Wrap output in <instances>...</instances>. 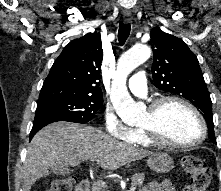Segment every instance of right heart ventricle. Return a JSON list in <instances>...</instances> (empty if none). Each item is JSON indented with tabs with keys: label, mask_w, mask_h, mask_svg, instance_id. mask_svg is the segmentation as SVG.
Here are the masks:
<instances>
[{
	"label": "right heart ventricle",
	"mask_w": 221,
	"mask_h": 191,
	"mask_svg": "<svg viewBox=\"0 0 221 191\" xmlns=\"http://www.w3.org/2000/svg\"><path fill=\"white\" fill-rule=\"evenodd\" d=\"M128 143L140 147L152 146L145 133L140 128L134 129L133 137Z\"/></svg>",
	"instance_id": "e07e8e85"
}]
</instances>
